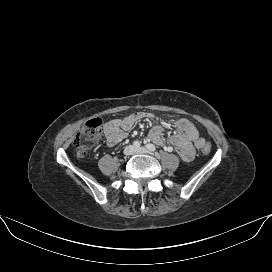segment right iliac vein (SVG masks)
I'll use <instances>...</instances> for the list:
<instances>
[{"mask_svg": "<svg viewBox=\"0 0 272 272\" xmlns=\"http://www.w3.org/2000/svg\"><path fill=\"white\" fill-rule=\"evenodd\" d=\"M134 152H135V149L133 146H128L124 151L125 155H132Z\"/></svg>", "mask_w": 272, "mask_h": 272, "instance_id": "obj_1", "label": "right iliac vein"}]
</instances>
